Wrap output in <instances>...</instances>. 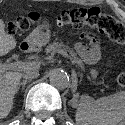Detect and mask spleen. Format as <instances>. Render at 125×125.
Returning <instances> with one entry per match:
<instances>
[{
	"label": "spleen",
	"mask_w": 125,
	"mask_h": 125,
	"mask_svg": "<svg viewBox=\"0 0 125 125\" xmlns=\"http://www.w3.org/2000/svg\"><path fill=\"white\" fill-rule=\"evenodd\" d=\"M125 117V91L96 101L82 99L75 119L77 125H117Z\"/></svg>",
	"instance_id": "3e777b00"
}]
</instances>
